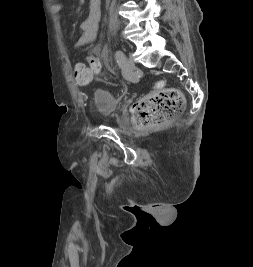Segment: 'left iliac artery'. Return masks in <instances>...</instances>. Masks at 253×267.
Masks as SVG:
<instances>
[{"label":"left iliac artery","mask_w":253,"mask_h":267,"mask_svg":"<svg viewBox=\"0 0 253 267\" xmlns=\"http://www.w3.org/2000/svg\"><path fill=\"white\" fill-rule=\"evenodd\" d=\"M116 61L118 65L125 71L126 70V58L124 55L119 56L117 53L115 54Z\"/></svg>","instance_id":"obj_1"}]
</instances>
